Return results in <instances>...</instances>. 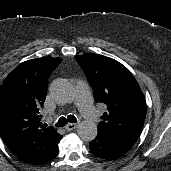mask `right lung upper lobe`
I'll return each mask as SVG.
<instances>
[{
	"label": "right lung upper lobe",
	"mask_w": 171,
	"mask_h": 171,
	"mask_svg": "<svg viewBox=\"0 0 171 171\" xmlns=\"http://www.w3.org/2000/svg\"><path fill=\"white\" fill-rule=\"evenodd\" d=\"M61 58H37L18 65L0 87V135L9 150L31 164L44 161L62 137L41 123L47 80Z\"/></svg>",
	"instance_id": "cb5924a9"
}]
</instances>
